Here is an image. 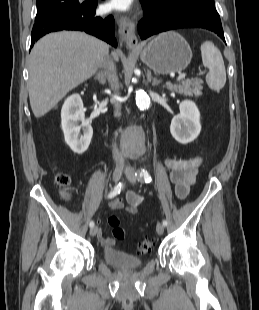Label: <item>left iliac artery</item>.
Listing matches in <instances>:
<instances>
[{
	"label": "left iliac artery",
	"instance_id": "44dca946",
	"mask_svg": "<svg viewBox=\"0 0 259 310\" xmlns=\"http://www.w3.org/2000/svg\"><path fill=\"white\" fill-rule=\"evenodd\" d=\"M136 176L138 177V179H144V181H145L146 183H150V182L152 181V178H151L150 174H149L148 171L145 170V169H141V170L137 171V172H136ZM162 224H163L164 226H166V225H167V221H166V220H163V221H162Z\"/></svg>",
	"mask_w": 259,
	"mask_h": 310
}]
</instances>
